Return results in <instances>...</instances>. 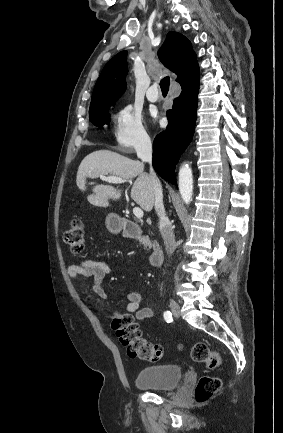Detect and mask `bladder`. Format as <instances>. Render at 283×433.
<instances>
[{
  "instance_id": "bladder-1",
  "label": "bladder",
  "mask_w": 283,
  "mask_h": 433,
  "mask_svg": "<svg viewBox=\"0 0 283 433\" xmlns=\"http://www.w3.org/2000/svg\"><path fill=\"white\" fill-rule=\"evenodd\" d=\"M182 373V365L143 367L138 372L134 384L144 389L166 391L180 382Z\"/></svg>"
}]
</instances>
